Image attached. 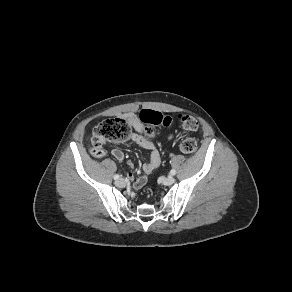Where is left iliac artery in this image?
Returning a JSON list of instances; mask_svg holds the SVG:
<instances>
[{"instance_id":"44dca946","label":"left iliac artery","mask_w":292,"mask_h":292,"mask_svg":"<svg viewBox=\"0 0 292 292\" xmlns=\"http://www.w3.org/2000/svg\"><path fill=\"white\" fill-rule=\"evenodd\" d=\"M170 174H171V175H175V174H176V171H175L174 169H172V170L170 171Z\"/></svg>"}]
</instances>
